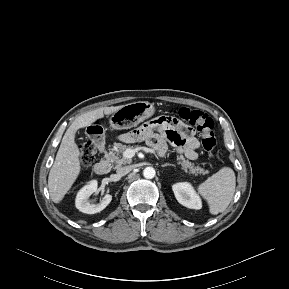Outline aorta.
<instances>
[{"label": "aorta", "mask_w": 289, "mask_h": 289, "mask_svg": "<svg viewBox=\"0 0 289 289\" xmlns=\"http://www.w3.org/2000/svg\"><path fill=\"white\" fill-rule=\"evenodd\" d=\"M155 174H156V172H155V169L153 167H146L143 171V175L147 179L154 178Z\"/></svg>", "instance_id": "obj_1"}]
</instances>
